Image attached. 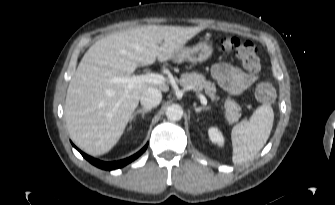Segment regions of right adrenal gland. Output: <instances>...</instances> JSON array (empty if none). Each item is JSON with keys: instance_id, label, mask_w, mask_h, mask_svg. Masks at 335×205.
<instances>
[{"instance_id": "2a0ac1e0", "label": "right adrenal gland", "mask_w": 335, "mask_h": 205, "mask_svg": "<svg viewBox=\"0 0 335 205\" xmlns=\"http://www.w3.org/2000/svg\"><path fill=\"white\" fill-rule=\"evenodd\" d=\"M151 111L150 108H141V109H138L136 112H134L131 116V119H130V122H132V120H135V117L137 114H141L142 118H144V115L145 113Z\"/></svg>"}]
</instances>
